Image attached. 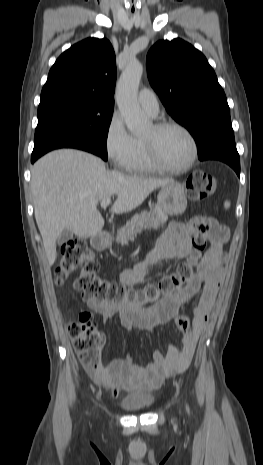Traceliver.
Here are the masks:
<instances>
[{
    "label": "liver",
    "instance_id": "1",
    "mask_svg": "<svg viewBox=\"0 0 263 465\" xmlns=\"http://www.w3.org/2000/svg\"><path fill=\"white\" fill-rule=\"evenodd\" d=\"M173 182L108 171L101 159L78 150H57L40 158L32 168L31 190L49 265L56 260V241L64 230L82 238L102 231L99 202L116 195L111 212L123 214L141 205L155 189Z\"/></svg>",
    "mask_w": 263,
    "mask_h": 465
}]
</instances>
